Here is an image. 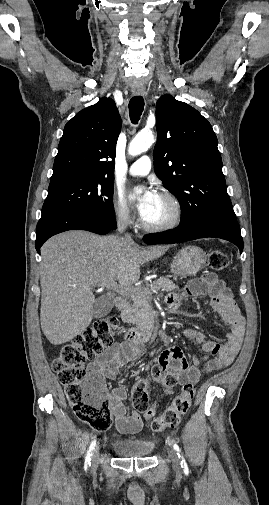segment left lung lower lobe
<instances>
[{
	"instance_id": "1",
	"label": "left lung lower lobe",
	"mask_w": 269,
	"mask_h": 505,
	"mask_svg": "<svg viewBox=\"0 0 269 505\" xmlns=\"http://www.w3.org/2000/svg\"><path fill=\"white\" fill-rule=\"evenodd\" d=\"M205 237L228 240L239 248L240 253L243 251V239L239 224L236 217L229 215L215 216L190 228L178 226L162 234L145 236L143 240L147 244H171Z\"/></svg>"
}]
</instances>
